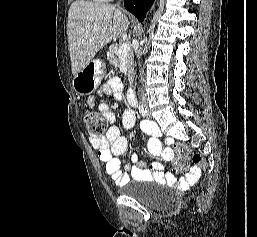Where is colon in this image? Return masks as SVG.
Returning <instances> with one entry per match:
<instances>
[{"instance_id": "5ec220e1", "label": "colon", "mask_w": 257, "mask_h": 237, "mask_svg": "<svg viewBox=\"0 0 257 237\" xmlns=\"http://www.w3.org/2000/svg\"><path fill=\"white\" fill-rule=\"evenodd\" d=\"M84 122L89 133L97 138L103 136L106 131L107 123L106 121L96 112L87 111L84 114ZM174 151L176 155L175 168L177 170H183L186 167V156L192 152L191 148L186 144H177L174 146ZM194 162H200L201 157L198 154L193 155Z\"/></svg>"}]
</instances>
